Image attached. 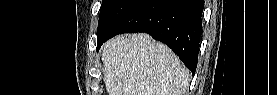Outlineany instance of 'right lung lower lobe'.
<instances>
[{
    "mask_svg": "<svg viewBox=\"0 0 277 95\" xmlns=\"http://www.w3.org/2000/svg\"><path fill=\"white\" fill-rule=\"evenodd\" d=\"M203 8V0H144L111 31L103 43L121 33H148L168 45L194 75L202 34Z\"/></svg>",
    "mask_w": 277,
    "mask_h": 95,
    "instance_id": "1",
    "label": "right lung lower lobe"
}]
</instances>
